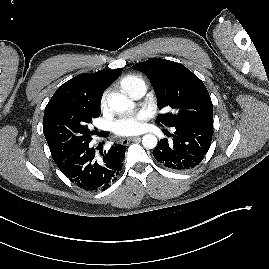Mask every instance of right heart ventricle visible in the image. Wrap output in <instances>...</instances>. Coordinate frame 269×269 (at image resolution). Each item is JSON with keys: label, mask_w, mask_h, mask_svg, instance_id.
Masks as SVG:
<instances>
[{"label": "right heart ventricle", "mask_w": 269, "mask_h": 269, "mask_svg": "<svg viewBox=\"0 0 269 269\" xmlns=\"http://www.w3.org/2000/svg\"><path fill=\"white\" fill-rule=\"evenodd\" d=\"M141 84H145L144 80L135 74H128L119 81L121 90L129 96H131L133 90Z\"/></svg>", "instance_id": "1"}]
</instances>
